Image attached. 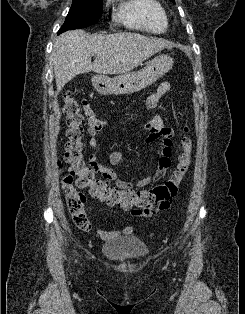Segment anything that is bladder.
Returning a JSON list of instances; mask_svg holds the SVG:
<instances>
[{"label": "bladder", "instance_id": "1", "mask_svg": "<svg viewBox=\"0 0 245 314\" xmlns=\"http://www.w3.org/2000/svg\"><path fill=\"white\" fill-rule=\"evenodd\" d=\"M148 252V246L138 236H130L122 240L111 241L102 248L103 257L114 263L141 259Z\"/></svg>", "mask_w": 245, "mask_h": 314}]
</instances>
